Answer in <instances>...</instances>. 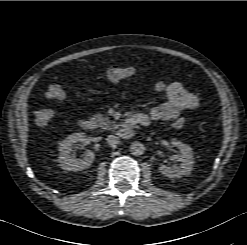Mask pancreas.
Wrapping results in <instances>:
<instances>
[{
	"label": "pancreas",
	"mask_w": 247,
	"mask_h": 245,
	"mask_svg": "<svg viewBox=\"0 0 247 245\" xmlns=\"http://www.w3.org/2000/svg\"><path fill=\"white\" fill-rule=\"evenodd\" d=\"M90 119L95 124L96 127H100L104 130H112L113 128H115V125L108 116H104L102 114H96L93 115Z\"/></svg>",
	"instance_id": "obj_1"
}]
</instances>
